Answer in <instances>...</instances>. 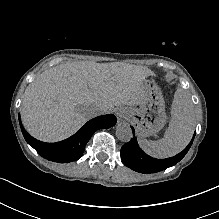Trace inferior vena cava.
Instances as JSON below:
<instances>
[{
    "label": "inferior vena cava",
    "instance_id": "602c4592",
    "mask_svg": "<svg viewBox=\"0 0 219 219\" xmlns=\"http://www.w3.org/2000/svg\"><path fill=\"white\" fill-rule=\"evenodd\" d=\"M91 113L94 117L96 118H101L108 112H106V108L103 104L101 103H96L94 105L90 106Z\"/></svg>",
    "mask_w": 219,
    "mask_h": 219
}]
</instances>
